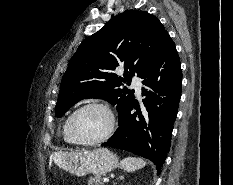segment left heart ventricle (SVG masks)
Listing matches in <instances>:
<instances>
[{"instance_id": "1", "label": "left heart ventricle", "mask_w": 233, "mask_h": 185, "mask_svg": "<svg viewBox=\"0 0 233 185\" xmlns=\"http://www.w3.org/2000/svg\"><path fill=\"white\" fill-rule=\"evenodd\" d=\"M109 124L110 119L106 111L101 108H89L75 117L73 130L79 138L88 140L104 134Z\"/></svg>"}]
</instances>
